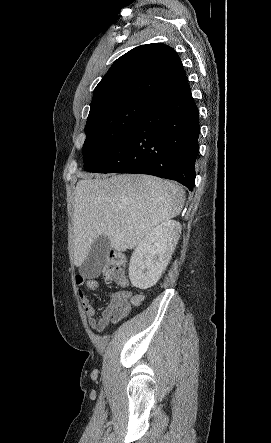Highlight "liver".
Instances as JSON below:
<instances>
[{
    "label": "liver",
    "mask_w": 271,
    "mask_h": 443,
    "mask_svg": "<svg viewBox=\"0 0 271 443\" xmlns=\"http://www.w3.org/2000/svg\"><path fill=\"white\" fill-rule=\"evenodd\" d=\"M84 174L76 184L73 214L75 265H82L95 239L108 235L117 251L132 249L155 225L180 214L185 192L155 176Z\"/></svg>",
    "instance_id": "6515ba94"
}]
</instances>
